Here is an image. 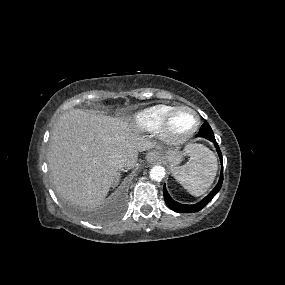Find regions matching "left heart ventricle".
<instances>
[{
    "label": "left heart ventricle",
    "instance_id": "obj_1",
    "mask_svg": "<svg viewBox=\"0 0 285 285\" xmlns=\"http://www.w3.org/2000/svg\"><path fill=\"white\" fill-rule=\"evenodd\" d=\"M195 119L193 115L187 112L178 114L172 123V127L177 133L187 132L194 125Z\"/></svg>",
    "mask_w": 285,
    "mask_h": 285
}]
</instances>
